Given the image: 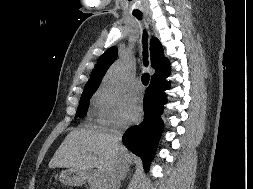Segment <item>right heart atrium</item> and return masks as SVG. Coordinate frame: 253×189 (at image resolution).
<instances>
[{
    "label": "right heart atrium",
    "instance_id": "1",
    "mask_svg": "<svg viewBox=\"0 0 253 189\" xmlns=\"http://www.w3.org/2000/svg\"><path fill=\"white\" fill-rule=\"evenodd\" d=\"M97 122L105 128H121L124 126V100L118 94L101 88L94 97ZM126 122V121H125Z\"/></svg>",
    "mask_w": 253,
    "mask_h": 189
}]
</instances>
